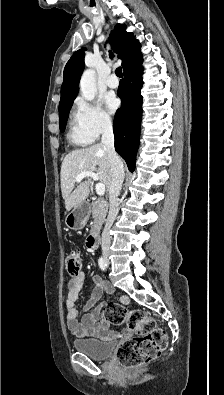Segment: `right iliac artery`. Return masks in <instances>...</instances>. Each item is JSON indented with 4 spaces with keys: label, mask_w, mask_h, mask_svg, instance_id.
Listing matches in <instances>:
<instances>
[{
    "label": "right iliac artery",
    "mask_w": 224,
    "mask_h": 395,
    "mask_svg": "<svg viewBox=\"0 0 224 395\" xmlns=\"http://www.w3.org/2000/svg\"><path fill=\"white\" fill-rule=\"evenodd\" d=\"M98 265H99L101 270L104 271L106 269V262H105L103 257L99 258Z\"/></svg>",
    "instance_id": "1"
}]
</instances>
